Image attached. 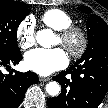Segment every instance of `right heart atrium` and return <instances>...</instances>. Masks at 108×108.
<instances>
[{
	"mask_svg": "<svg viewBox=\"0 0 108 108\" xmlns=\"http://www.w3.org/2000/svg\"><path fill=\"white\" fill-rule=\"evenodd\" d=\"M16 39L21 49H28L35 43V22L31 17L24 18L16 29Z\"/></svg>",
	"mask_w": 108,
	"mask_h": 108,
	"instance_id": "right-heart-atrium-1",
	"label": "right heart atrium"
}]
</instances>
